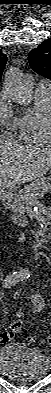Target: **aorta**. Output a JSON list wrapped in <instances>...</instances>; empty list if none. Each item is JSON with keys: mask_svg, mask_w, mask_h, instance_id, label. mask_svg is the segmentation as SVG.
<instances>
[{"mask_svg": "<svg viewBox=\"0 0 51 393\" xmlns=\"http://www.w3.org/2000/svg\"><path fill=\"white\" fill-rule=\"evenodd\" d=\"M6 89L13 100L20 106L29 107L32 101L31 85L21 79L18 74H9L6 79Z\"/></svg>", "mask_w": 51, "mask_h": 393, "instance_id": "1", "label": "aorta"}]
</instances>
